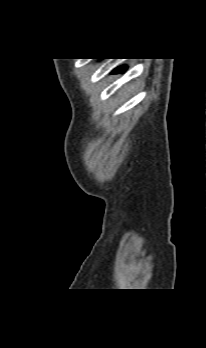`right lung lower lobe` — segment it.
I'll list each match as a JSON object with an SVG mask.
<instances>
[{
    "label": "right lung lower lobe",
    "mask_w": 206,
    "mask_h": 348,
    "mask_svg": "<svg viewBox=\"0 0 206 348\" xmlns=\"http://www.w3.org/2000/svg\"><path fill=\"white\" fill-rule=\"evenodd\" d=\"M127 69L126 66H122V67H119L117 68L114 72H120V73H123L125 70Z\"/></svg>",
    "instance_id": "1"
}]
</instances>
